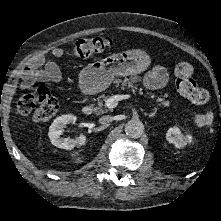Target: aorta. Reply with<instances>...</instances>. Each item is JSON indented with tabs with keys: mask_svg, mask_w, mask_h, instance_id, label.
Returning <instances> with one entry per match:
<instances>
[{
	"mask_svg": "<svg viewBox=\"0 0 221 221\" xmlns=\"http://www.w3.org/2000/svg\"><path fill=\"white\" fill-rule=\"evenodd\" d=\"M125 133L132 138H139L144 132V125L140 120H130L125 124Z\"/></svg>",
	"mask_w": 221,
	"mask_h": 221,
	"instance_id": "762f6f07",
	"label": "aorta"
}]
</instances>
